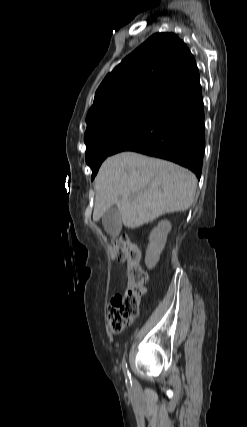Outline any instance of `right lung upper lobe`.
<instances>
[{"label":"right lung upper lobe","mask_w":247,"mask_h":427,"mask_svg":"<svg viewBox=\"0 0 247 427\" xmlns=\"http://www.w3.org/2000/svg\"><path fill=\"white\" fill-rule=\"evenodd\" d=\"M199 80L195 59L173 33L148 38L102 81L86 122L127 107L156 106Z\"/></svg>","instance_id":"cb5924a9"}]
</instances>
